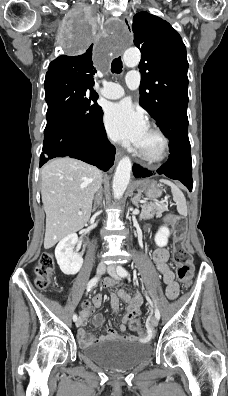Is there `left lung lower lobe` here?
Wrapping results in <instances>:
<instances>
[{
	"instance_id": "left-lung-lower-lobe-1",
	"label": "left lung lower lobe",
	"mask_w": 228,
	"mask_h": 396,
	"mask_svg": "<svg viewBox=\"0 0 228 396\" xmlns=\"http://www.w3.org/2000/svg\"><path fill=\"white\" fill-rule=\"evenodd\" d=\"M159 128L170 141V157L156 173L171 179L181 181L189 191H192V160L190 142L188 138L187 105H178L168 110L163 115ZM135 177H148L152 175L139 165H133Z\"/></svg>"
}]
</instances>
